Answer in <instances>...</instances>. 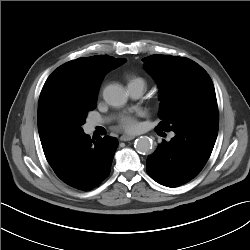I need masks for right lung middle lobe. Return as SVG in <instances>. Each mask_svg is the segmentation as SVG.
<instances>
[{
	"mask_svg": "<svg viewBox=\"0 0 250 250\" xmlns=\"http://www.w3.org/2000/svg\"><path fill=\"white\" fill-rule=\"evenodd\" d=\"M95 108L94 105L83 106L76 110L70 119L60 128L57 139L72 136L83 132L82 125L85 123L87 113Z\"/></svg>",
	"mask_w": 250,
	"mask_h": 250,
	"instance_id": "dd1d6c3e",
	"label": "right lung middle lobe"
}]
</instances>
